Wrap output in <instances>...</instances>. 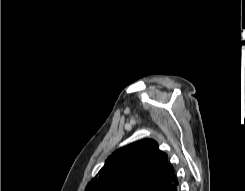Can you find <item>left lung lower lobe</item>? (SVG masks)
<instances>
[{"label":"left lung lower lobe","mask_w":245,"mask_h":191,"mask_svg":"<svg viewBox=\"0 0 245 191\" xmlns=\"http://www.w3.org/2000/svg\"><path fill=\"white\" fill-rule=\"evenodd\" d=\"M159 191H179V181L176 173L172 175L170 180Z\"/></svg>","instance_id":"left-lung-lower-lobe-1"}]
</instances>
